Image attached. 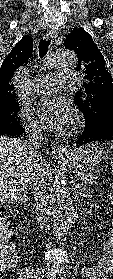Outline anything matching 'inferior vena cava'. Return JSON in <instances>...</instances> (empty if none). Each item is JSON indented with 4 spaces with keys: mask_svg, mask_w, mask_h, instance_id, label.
Instances as JSON below:
<instances>
[{
    "mask_svg": "<svg viewBox=\"0 0 113 279\" xmlns=\"http://www.w3.org/2000/svg\"><path fill=\"white\" fill-rule=\"evenodd\" d=\"M28 134V147L32 150L34 154L38 155L37 149L41 148L43 141L41 132L37 127L32 126L28 130ZM33 189L36 200V209L39 213L40 227L41 229H45L46 232H48L49 226L47 225V218L45 216L49 214L50 209L48 207L47 198L45 197V179L41 171H37L33 178Z\"/></svg>",
    "mask_w": 113,
    "mask_h": 279,
    "instance_id": "inferior-vena-cava-1",
    "label": "inferior vena cava"
}]
</instances>
